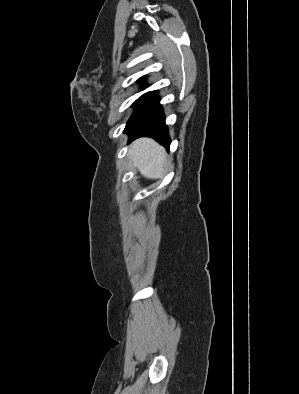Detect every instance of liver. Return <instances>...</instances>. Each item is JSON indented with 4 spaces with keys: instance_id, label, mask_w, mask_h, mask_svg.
<instances>
[{
    "instance_id": "liver-1",
    "label": "liver",
    "mask_w": 299,
    "mask_h": 394,
    "mask_svg": "<svg viewBox=\"0 0 299 394\" xmlns=\"http://www.w3.org/2000/svg\"><path fill=\"white\" fill-rule=\"evenodd\" d=\"M128 156L132 164L148 179L161 178L165 172L167 154L153 139L140 138L130 145Z\"/></svg>"
}]
</instances>
